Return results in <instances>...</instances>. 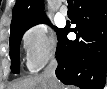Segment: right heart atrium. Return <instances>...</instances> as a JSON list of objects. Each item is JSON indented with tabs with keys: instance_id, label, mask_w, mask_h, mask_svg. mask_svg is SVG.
<instances>
[{
	"instance_id": "obj_1",
	"label": "right heart atrium",
	"mask_w": 107,
	"mask_h": 89,
	"mask_svg": "<svg viewBox=\"0 0 107 89\" xmlns=\"http://www.w3.org/2000/svg\"><path fill=\"white\" fill-rule=\"evenodd\" d=\"M22 44L29 70L42 68L56 53L57 41L54 31L45 23L31 26L23 35Z\"/></svg>"
}]
</instances>
